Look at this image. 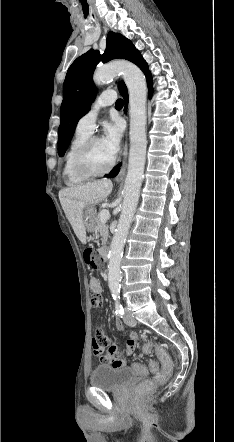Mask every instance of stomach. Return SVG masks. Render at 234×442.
Returning a JSON list of instances; mask_svg holds the SVG:
<instances>
[{
  "mask_svg": "<svg viewBox=\"0 0 234 442\" xmlns=\"http://www.w3.org/2000/svg\"><path fill=\"white\" fill-rule=\"evenodd\" d=\"M96 210L94 206H87L83 212V224L85 230L93 232L95 230Z\"/></svg>",
  "mask_w": 234,
  "mask_h": 442,
  "instance_id": "stomach-1",
  "label": "stomach"
}]
</instances>
